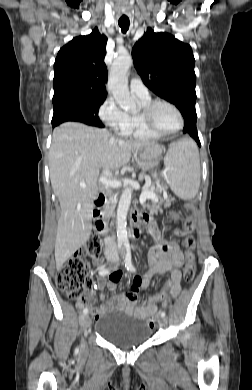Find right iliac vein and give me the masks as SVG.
I'll return each mask as SVG.
<instances>
[{"label":"right iliac vein","instance_id":"63e3f726","mask_svg":"<svg viewBox=\"0 0 252 390\" xmlns=\"http://www.w3.org/2000/svg\"><path fill=\"white\" fill-rule=\"evenodd\" d=\"M109 260L110 261H114L115 260V257L114 256H110L109 257ZM80 325H81V328H82V331L84 332V334L87 332V330L89 329V326H90V319L88 317L87 314H82L80 316ZM82 344L85 345V340L84 338H82Z\"/></svg>","mask_w":252,"mask_h":390}]
</instances>
